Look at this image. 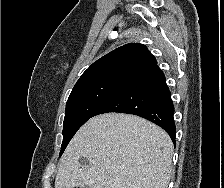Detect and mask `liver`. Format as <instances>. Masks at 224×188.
Segmentation results:
<instances>
[{
    "label": "liver",
    "instance_id": "obj_1",
    "mask_svg": "<svg viewBox=\"0 0 224 188\" xmlns=\"http://www.w3.org/2000/svg\"><path fill=\"white\" fill-rule=\"evenodd\" d=\"M172 154L169 135L154 123L130 114L98 115L67 146L55 188H167Z\"/></svg>",
    "mask_w": 224,
    "mask_h": 188
}]
</instances>
